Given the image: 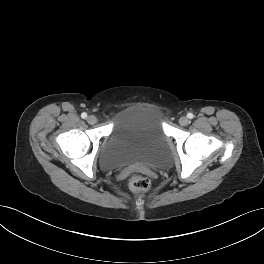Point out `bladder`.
<instances>
[{
    "label": "bladder",
    "mask_w": 264,
    "mask_h": 264,
    "mask_svg": "<svg viewBox=\"0 0 264 264\" xmlns=\"http://www.w3.org/2000/svg\"><path fill=\"white\" fill-rule=\"evenodd\" d=\"M169 157L170 142L161 111L143 106L124 114L114 124L97 160L100 168L108 171L133 165L159 167Z\"/></svg>",
    "instance_id": "1"
}]
</instances>
